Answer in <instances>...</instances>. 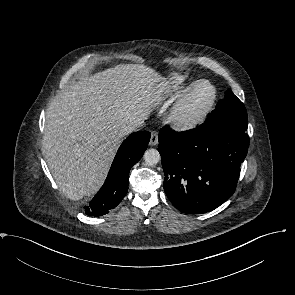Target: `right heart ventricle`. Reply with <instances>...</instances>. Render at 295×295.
Returning <instances> with one entry per match:
<instances>
[{
	"instance_id": "e07e8e85",
	"label": "right heart ventricle",
	"mask_w": 295,
	"mask_h": 295,
	"mask_svg": "<svg viewBox=\"0 0 295 295\" xmlns=\"http://www.w3.org/2000/svg\"><path fill=\"white\" fill-rule=\"evenodd\" d=\"M189 86L188 78L177 72L164 77L156 88V98L159 102L171 101L177 98Z\"/></svg>"
}]
</instances>
